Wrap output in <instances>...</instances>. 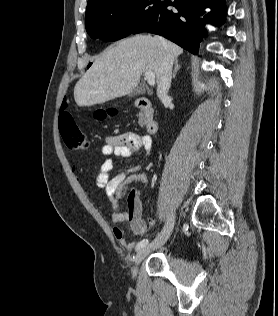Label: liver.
Returning a JSON list of instances; mask_svg holds the SVG:
<instances>
[{"mask_svg": "<svg viewBox=\"0 0 278 316\" xmlns=\"http://www.w3.org/2000/svg\"><path fill=\"white\" fill-rule=\"evenodd\" d=\"M183 52L178 45L158 36L136 35L117 42L98 57L74 87L78 106L105 103L131 93L145 71L160 79L167 55L177 58Z\"/></svg>", "mask_w": 278, "mask_h": 316, "instance_id": "1", "label": "liver"}]
</instances>
